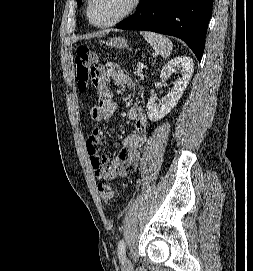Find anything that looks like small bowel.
Returning a JSON list of instances; mask_svg holds the SVG:
<instances>
[{"label":"small bowel","instance_id":"small-bowel-1","mask_svg":"<svg viewBox=\"0 0 253 271\" xmlns=\"http://www.w3.org/2000/svg\"><path fill=\"white\" fill-rule=\"evenodd\" d=\"M97 72L98 99L90 110V116L97 123H105L110 120L118 108L113 99L110 84L134 89L135 81L114 63L98 66ZM127 118L134 122L135 132L125 136L123 148L113 160H110L107 155L99 153V146L104 141V131L101 128L94 127L85 141V151L97 179L112 180L125 176L138 165L139 150L149 138L148 119L144 111L137 105L128 110Z\"/></svg>","mask_w":253,"mask_h":271}]
</instances>
